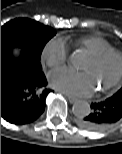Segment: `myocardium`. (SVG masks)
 <instances>
[{"label": "myocardium", "mask_w": 122, "mask_h": 154, "mask_svg": "<svg viewBox=\"0 0 122 154\" xmlns=\"http://www.w3.org/2000/svg\"><path fill=\"white\" fill-rule=\"evenodd\" d=\"M114 58L117 60V71L113 79L99 88L100 92L108 91L116 87L122 81V53L116 50H110L95 55H90V59L96 64H104L109 59Z\"/></svg>", "instance_id": "myocardium-1"}]
</instances>
